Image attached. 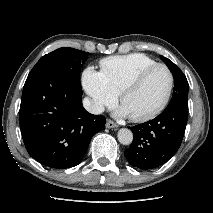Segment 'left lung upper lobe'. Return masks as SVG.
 I'll return each instance as SVG.
<instances>
[{
	"label": "left lung upper lobe",
	"instance_id": "5c2ea615",
	"mask_svg": "<svg viewBox=\"0 0 213 213\" xmlns=\"http://www.w3.org/2000/svg\"><path fill=\"white\" fill-rule=\"evenodd\" d=\"M174 77V92L168 105L179 104L188 107V81L183 72L168 58L162 56Z\"/></svg>",
	"mask_w": 213,
	"mask_h": 213
}]
</instances>
